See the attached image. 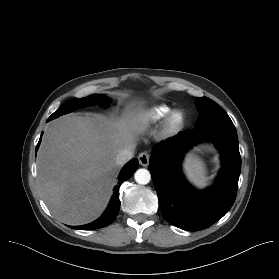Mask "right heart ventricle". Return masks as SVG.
<instances>
[{"instance_id": "obj_1", "label": "right heart ventricle", "mask_w": 279, "mask_h": 279, "mask_svg": "<svg viewBox=\"0 0 279 279\" xmlns=\"http://www.w3.org/2000/svg\"><path fill=\"white\" fill-rule=\"evenodd\" d=\"M170 108L166 105L154 107L147 115V120L156 121L168 115Z\"/></svg>"}]
</instances>
